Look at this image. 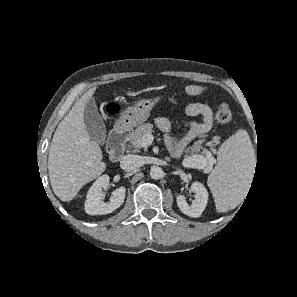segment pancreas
Here are the masks:
<instances>
[{
    "label": "pancreas",
    "instance_id": "pancreas-1",
    "mask_svg": "<svg viewBox=\"0 0 297 297\" xmlns=\"http://www.w3.org/2000/svg\"><path fill=\"white\" fill-rule=\"evenodd\" d=\"M153 132V124L151 123H146L140 125L131 135H130V144L134 148H142L146 147L142 144V138L145 134L147 133H152ZM200 151V148H195L194 150L191 151V156H197V152Z\"/></svg>",
    "mask_w": 297,
    "mask_h": 297
}]
</instances>
